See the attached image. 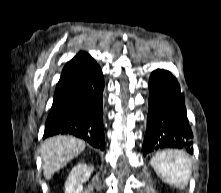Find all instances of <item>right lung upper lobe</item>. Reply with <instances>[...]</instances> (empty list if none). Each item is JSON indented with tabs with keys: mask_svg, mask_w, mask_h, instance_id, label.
I'll list each match as a JSON object with an SVG mask.
<instances>
[{
	"mask_svg": "<svg viewBox=\"0 0 221 193\" xmlns=\"http://www.w3.org/2000/svg\"><path fill=\"white\" fill-rule=\"evenodd\" d=\"M93 61L94 59L84 52H80L77 56L70 60L63 68L60 80L56 86L55 94L66 86L76 74Z\"/></svg>",
	"mask_w": 221,
	"mask_h": 193,
	"instance_id": "obj_1",
	"label": "right lung upper lobe"
}]
</instances>
